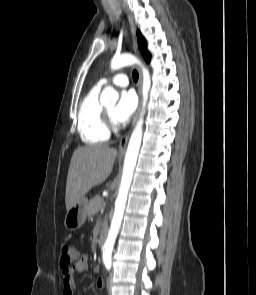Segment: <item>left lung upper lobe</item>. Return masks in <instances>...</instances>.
<instances>
[{
	"label": "left lung upper lobe",
	"mask_w": 256,
	"mask_h": 295,
	"mask_svg": "<svg viewBox=\"0 0 256 295\" xmlns=\"http://www.w3.org/2000/svg\"><path fill=\"white\" fill-rule=\"evenodd\" d=\"M137 39H138L139 49L141 50V53H142L144 59L147 62H150L151 56H150V53L147 51L146 41L139 31H137Z\"/></svg>",
	"instance_id": "5c2ea615"
}]
</instances>
